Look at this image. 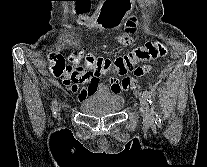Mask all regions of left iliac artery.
Returning a JSON list of instances; mask_svg holds the SVG:
<instances>
[{"mask_svg": "<svg viewBox=\"0 0 207 167\" xmlns=\"http://www.w3.org/2000/svg\"><path fill=\"white\" fill-rule=\"evenodd\" d=\"M143 94H144V97L146 98V100L150 104V113L152 114V116H153V118L155 120V123L158 125V127H160L161 126V119L158 116V114L154 111L153 100H152V97H151L150 92H148L147 90H145Z\"/></svg>", "mask_w": 207, "mask_h": 167, "instance_id": "left-iliac-artery-1", "label": "left iliac artery"}]
</instances>
